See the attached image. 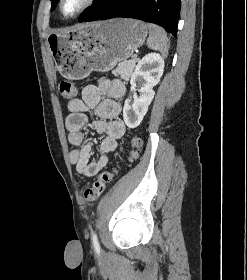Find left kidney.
<instances>
[{"mask_svg": "<svg viewBox=\"0 0 247 280\" xmlns=\"http://www.w3.org/2000/svg\"><path fill=\"white\" fill-rule=\"evenodd\" d=\"M163 70L164 58L158 53H149L138 62L130 81L134 101L128 98L123 107V119L129 128H136L142 122L155 95L153 88L159 83Z\"/></svg>", "mask_w": 247, "mask_h": 280, "instance_id": "5707ae66", "label": "left kidney"}]
</instances>
